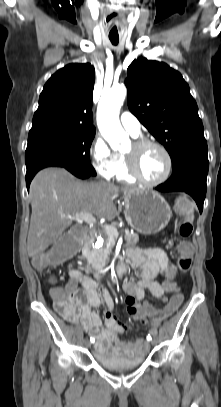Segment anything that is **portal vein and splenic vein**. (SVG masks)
Masks as SVG:
<instances>
[{
	"label": "portal vein and splenic vein",
	"instance_id": "obj_1",
	"mask_svg": "<svg viewBox=\"0 0 221 407\" xmlns=\"http://www.w3.org/2000/svg\"><path fill=\"white\" fill-rule=\"evenodd\" d=\"M69 218L73 220H83L89 225H93L97 221L96 218L92 215V213H77L75 215L69 216ZM103 228L109 236L111 237L119 236V232L114 226L104 225Z\"/></svg>",
	"mask_w": 221,
	"mask_h": 407
}]
</instances>
